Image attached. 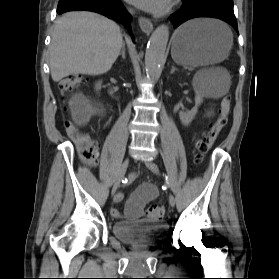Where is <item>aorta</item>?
<instances>
[{"mask_svg":"<svg viewBox=\"0 0 279 279\" xmlns=\"http://www.w3.org/2000/svg\"><path fill=\"white\" fill-rule=\"evenodd\" d=\"M169 38V27L160 25L153 32L145 53V69L147 74L158 77L161 73L166 46Z\"/></svg>","mask_w":279,"mask_h":279,"instance_id":"1","label":"aorta"}]
</instances>
